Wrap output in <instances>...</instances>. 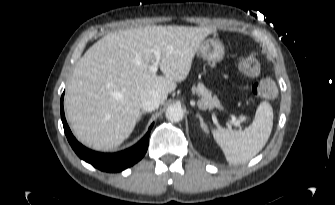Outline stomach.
<instances>
[{
	"label": "stomach",
	"instance_id": "0dacf381",
	"mask_svg": "<svg viewBox=\"0 0 335 205\" xmlns=\"http://www.w3.org/2000/svg\"><path fill=\"white\" fill-rule=\"evenodd\" d=\"M197 53L203 59L216 64L223 60L225 55V47L220 40L211 38L203 41L200 44Z\"/></svg>",
	"mask_w": 335,
	"mask_h": 205
}]
</instances>
